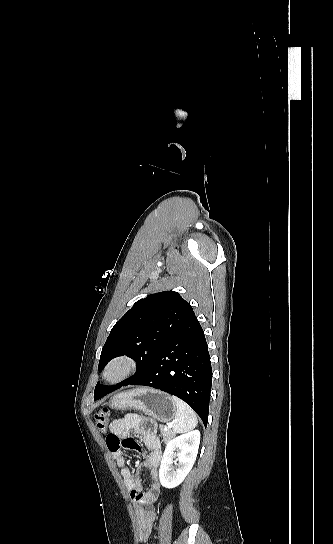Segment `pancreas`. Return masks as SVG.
Returning <instances> with one entry per match:
<instances>
[{"label":"pancreas","instance_id":"pancreas-1","mask_svg":"<svg viewBox=\"0 0 333 544\" xmlns=\"http://www.w3.org/2000/svg\"><path fill=\"white\" fill-rule=\"evenodd\" d=\"M161 433L165 442H168L174 436V433L170 429L165 431L161 428Z\"/></svg>","mask_w":333,"mask_h":544}]
</instances>
